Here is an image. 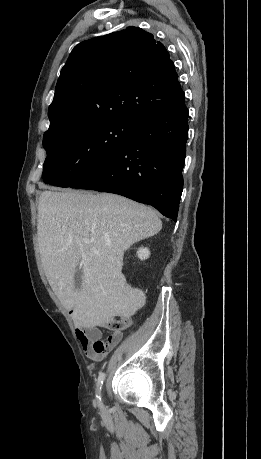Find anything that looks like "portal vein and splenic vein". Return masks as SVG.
<instances>
[{"instance_id":"obj_1","label":"portal vein and splenic vein","mask_w":261,"mask_h":459,"mask_svg":"<svg viewBox=\"0 0 261 459\" xmlns=\"http://www.w3.org/2000/svg\"><path fill=\"white\" fill-rule=\"evenodd\" d=\"M93 240H94L93 238H91V239H84V242L87 243V244H89V243H92Z\"/></svg>"}]
</instances>
